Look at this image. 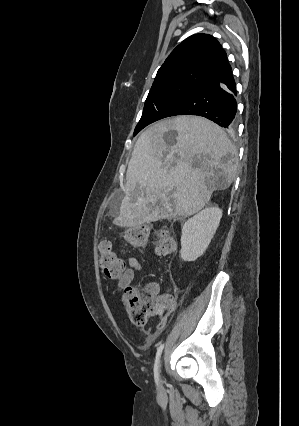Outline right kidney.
<instances>
[{"mask_svg":"<svg viewBox=\"0 0 299 426\" xmlns=\"http://www.w3.org/2000/svg\"><path fill=\"white\" fill-rule=\"evenodd\" d=\"M222 218V210L208 207L189 218L182 227L181 258L193 262L207 249Z\"/></svg>","mask_w":299,"mask_h":426,"instance_id":"ca27d5eb","label":"right kidney"}]
</instances>
